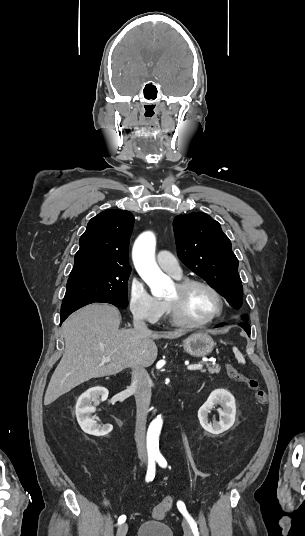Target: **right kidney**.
<instances>
[{"label":"right kidney","instance_id":"1","mask_svg":"<svg viewBox=\"0 0 305 536\" xmlns=\"http://www.w3.org/2000/svg\"><path fill=\"white\" fill-rule=\"evenodd\" d=\"M108 392L105 388H90L85 394L80 396L76 404V416L80 428H82L85 434H91V436H102V434H108L106 430L100 428L94 420L89 418L90 414L95 412V408L91 406V398H107Z\"/></svg>","mask_w":305,"mask_h":536}]
</instances>
